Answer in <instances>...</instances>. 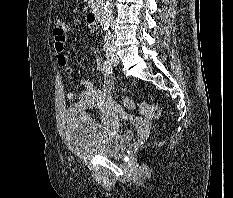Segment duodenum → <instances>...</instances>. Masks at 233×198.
<instances>
[{"label": "duodenum", "instance_id": "obj_1", "mask_svg": "<svg viewBox=\"0 0 233 198\" xmlns=\"http://www.w3.org/2000/svg\"><path fill=\"white\" fill-rule=\"evenodd\" d=\"M101 17V12L99 9H94L87 15V22L89 25H96L98 24Z\"/></svg>", "mask_w": 233, "mask_h": 198}]
</instances>
